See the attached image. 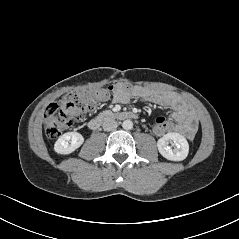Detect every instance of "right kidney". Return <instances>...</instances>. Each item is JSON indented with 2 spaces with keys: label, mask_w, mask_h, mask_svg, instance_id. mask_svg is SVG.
<instances>
[{
  "label": "right kidney",
  "mask_w": 239,
  "mask_h": 239,
  "mask_svg": "<svg viewBox=\"0 0 239 239\" xmlns=\"http://www.w3.org/2000/svg\"><path fill=\"white\" fill-rule=\"evenodd\" d=\"M84 142V137L78 132H67L60 136L54 144L58 154H70L78 149Z\"/></svg>",
  "instance_id": "1"
}]
</instances>
